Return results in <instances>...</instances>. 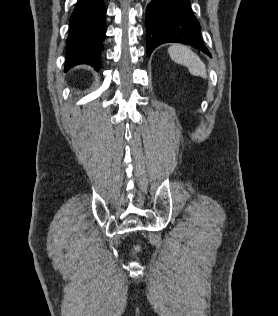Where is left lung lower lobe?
<instances>
[{
    "label": "left lung lower lobe",
    "instance_id": "1",
    "mask_svg": "<svg viewBox=\"0 0 278 316\" xmlns=\"http://www.w3.org/2000/svg\"><path fill=\"white\" fill-rule=\"evenodd\" d=\"M148 56L161 44L178 42L211 56L200 37V24L189 0H150L146 9Z\"/></svg>",
    "mask_w": 278,
    "mask_h": 316
}]
</instances>
